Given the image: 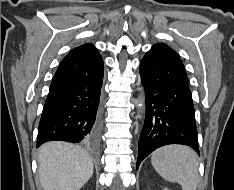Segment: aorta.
Returning a JSON list of instances; mask_svg holds the SVG:
<instances>
[{
  "instance_id": "1",
  "label": "aorta",
  "mask_w": 234,
  "mask_h": 190,
  "mask_svg": "<svg viewBox=\"0 0 234 190\" xmlns=\"http://www.w3.org/2000/svg\"><path fill=\"white\" fill-rule=\"evenodd\" d=\"M140 91L141 93H140V97L138 100V106H139L140 113H143V111L145 110V95H144L143 88H141ZM139 117L141 118V115Z\"/></svg>"
}]
</instances>
